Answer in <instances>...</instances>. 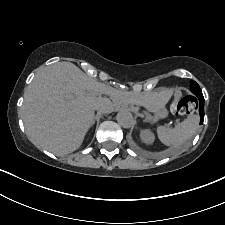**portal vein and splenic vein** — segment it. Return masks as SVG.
<instances>
[{
  "instance_id": "obj_1",
  "label": "portal vein and splenic vein",
  "mask_w": 225,
  "mask_h": 225,
  "mask_svg": "<svg viewBox=\"0 0 225 225\" xmlns=\"http://www.w3.org/2000/svg\"><path fill=\"white\" fill-rule=\"evenodd\" d=\"M72 97H73L72 95L66 96L67 99H71Z\"/></svg>"
}]
</instances>
